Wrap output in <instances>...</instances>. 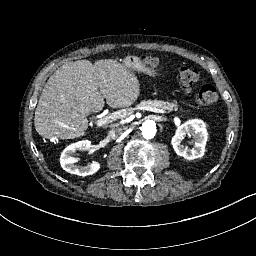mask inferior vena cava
<instances>
[{
  "label": "inferior vena cava",
  "instance_id": "obj_1",
  "mask_svg": "<svg viewBox=\"0 0 256 256\" xmlns=\"http://www.w3.org/2000/svg\"><path fill=\"white\" fill-rule=\"evenodd\" d=\"M127 127L126 126H123V127H114L110 132H109V135L111 138L115 139V138H118L122 135H124L127 131Z\"/></svg>",
  "mask_w": 256,
  "mask_h": 256
}]
</instances>
